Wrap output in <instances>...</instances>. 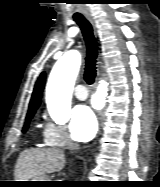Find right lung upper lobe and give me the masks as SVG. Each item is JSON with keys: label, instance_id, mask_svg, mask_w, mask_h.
I'll return each instance as SVG.
<instances>
[{"label": "right lung upper lobe", "instance_id": "obj_1", "mask_svg": "<svg viewBox=\"0 0 160 187\" xmlns=\"http://www.w3.org/2000/svg\"><path fill=\"white\" fill-rule=\"evenodd\" d=\"M44 83H45V73L43 72L41 73L40 77L38 78L35 84L32 98L29 104V111L36 110L38 106L40 105Z\"/></svg>", "mask_w": 160, "mask_h": 187}]
</instances>
